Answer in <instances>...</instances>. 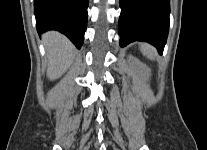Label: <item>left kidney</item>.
<instances>
[{
    "mask_svg": "<svg viewBox=\"0 0 207 150\" xmlns=\"http://www.w3.org/2000/svg\"><path fill=\"white\" fill-rule=\"evenodd\" d=\"M144 73L149 76L150 70L148 68H144Z\"/></svg>",
    "mask_w": 207,
    "mask_h": 150,
    "instance_id": "obj_1",
    "label": "left kidney"
}]
</instances>
